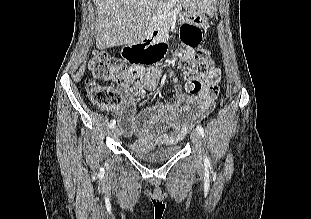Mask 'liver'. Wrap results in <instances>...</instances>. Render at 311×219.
<instances>
[{
	"instance_id": "obj_1",
	"label": "liver",
	"mask_w": 311,
	"mask_h": 219,
	"mask_svg": "<svg viewBox=\"0 0 311 219\" xmlns=\"http://www.w3.org/2000/svg\"><path fill=\"white\" fill-rule=\"evenodd\" d=\"M158 0H94L96 46L106 49L143 40ZM190 11L203 13L212 0H191Z\"/></svg>"
}]
</instances>
